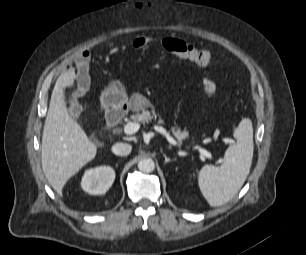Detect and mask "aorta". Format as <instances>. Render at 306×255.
I'll list each match as a JSON object with an SVG mask.
<instances>
[{
	"mask_svg": "<svg viewBox=\"0 0 306 255\" xmlns=\"http://www.w3.org/2000/svg\"><path fill=\"white\" fill-rule=\"evenodd\" d=\"M138 169L144 173H150L155 169V163L151 158H143L138 162Z\"/></svg>",
	"mask_w": 306,
	"mask_h": 255,
	"instance_id": "obj_1",
	"label": "aorta"
}]
</instances>
